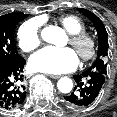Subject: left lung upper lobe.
Wrapping results in <instances>:
<instances>
[{
  "instance_id": "1",
  "label": "left lung upper lobe",
  "mask_w": 117,
  "mask_h": 117,
  "mask_svg": "<svg viewBox=\"0 0 117 117\" xmlns=\"http://www.w3.org/2000/svg\"><path fill=\"white\" fill-rule=\"evenodd\" d=\"M77 10L92 21L98 33L99 47L97 52V58L94 64L89 69L106 75L107 56H108V47H109L107 41V36H108L107 31L102 21L95 14L82 8H77Z\"/></svg>"
}]
</instances>
